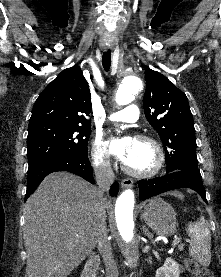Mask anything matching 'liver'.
Here are the masks:
<instances>
[{"label": "liver", "instance_id": "1", "mask_svg": "<svg viewBox=\"0 0 221 277\" xmlns=\"http://www.w3.org/2000/svg\"><path fill=\"white\" fill-rule=\"evenodd\" d=\"M99 202L97 187L74 174L54 172L42 181L25 204V277H67L91 254Z\"/></svg>", "mask_w": 221, "mask_h": 277}]
</instances>
